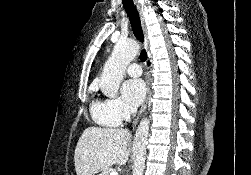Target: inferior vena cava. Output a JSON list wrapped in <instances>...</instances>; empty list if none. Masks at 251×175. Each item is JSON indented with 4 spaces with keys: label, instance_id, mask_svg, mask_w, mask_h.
Wrapping results in <instances>:
<instances>
[{
    "label": "inferior vena cava",
    "instance_id": "obj_1",
    "mask_svg": "<svg viewBox=\"0 0 251 175\" xmlns=\"http://www.w3.org/2000/svg\"><path fill=\"white\" fill-rule=\"evenodd\" d=\"M136 111H137V107H131L130 113H132V115H136Z\"/></svg>",
    "mask_w": 251,
    "mask_h": 175
}]
</instances>
